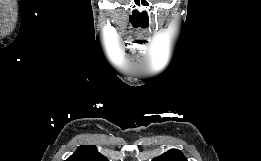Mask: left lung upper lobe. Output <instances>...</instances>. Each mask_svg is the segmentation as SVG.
I'll use <instances>...</instances> for the list:
<instances>
[{"mask_svg":"<svg viewBox=\"0 0 261 161\" xmlns=\"http://www.w3.org/2000/svg\"><path fill=\"white\" fill-rule=\"evenodd\" d=\"M153 161H187L183 154L176 149L169 150L165 152L163 155L156 157Z\"/></svg>","mask_w":261,"mask_h":161,"instance_id":"left-lung-upper-lobe-1","label":"left lung upper lobe"}]
</instances>
